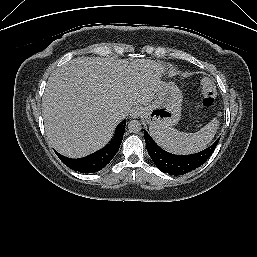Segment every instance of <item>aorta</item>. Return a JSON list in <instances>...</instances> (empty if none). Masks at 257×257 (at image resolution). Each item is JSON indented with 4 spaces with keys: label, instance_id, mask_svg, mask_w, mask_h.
Here are the masks:
<instances>
[{
    "label": "aorta",
    "instance_id": "obj_1",
    "mask_svg": "<svg viewBox=\"0 0 257 257\" xmlns=\"http://www.w3.org/2000/svg\"><path fill=\"white\" fill-rule=\"evenodd\" d=\"M142 129V125L139 121L137 120H131L129 123H128V130L131 132V133H138L140 132Z\"/></svg>",
    "mask_w": 257,
    "mask_h": 257
}]
</instances>
